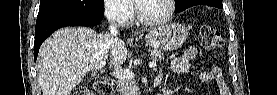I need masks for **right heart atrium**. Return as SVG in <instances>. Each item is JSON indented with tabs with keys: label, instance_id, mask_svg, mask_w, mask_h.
Listing matches in <instances>:
<instances>
[{
	"label": "right heart atrium",
	"instance_id": "obj_1",
	"mask_svg": "<svg viewBox=\"0 0 277 95\" xmlns=\"http://www.w3.org/2000/svg\"><path fill=\"white\" fill-rule=\"evenodd\" d=\"M103 10L109 21L122 25L131 17L126 0H103Z\"/></svg>",
	"mask_w": 277,
	"mask_h": 95
}]
</instances>
